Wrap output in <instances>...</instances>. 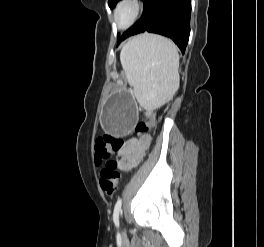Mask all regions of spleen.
I'll use <instances>...</instances> for the list:
<instances>
[{"label": "spleen", "instance_id": "1", "mask_svg": "<svg viewBox=\"0 0 264 247\" xmlns=\"http://www.w3.org/2000/svg\"><path fill=\"white\" fill-rule=\"evenodd\" d=\"M120 61L138 99L166 102L179 88V55L169 39L144 33L121 50Z\"/></svg>", "mask_w": 264, "mask_h": 247}]
</instances>
